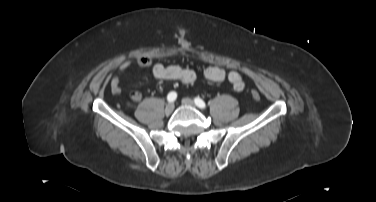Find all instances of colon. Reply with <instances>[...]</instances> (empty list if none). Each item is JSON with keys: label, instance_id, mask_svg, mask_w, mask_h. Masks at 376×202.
Returning <instances> with one entry per match:
<instances>
[{"label": "colon", "instance_id": "1", "mask_svg": "<svg viewBox=\"0 0 376 202\" xmlns=\"http://www.w3.org/2000/svg\"><path fill=\"white\" fill-rule=\"evenodd\" d=\"M251 94H252V97H253L254 99H256V100L259 99V97H260L259 93H258L257 91H255V90L252 91Z\"/></svg>", "mask_w": 376, "mask_h": 202}]
</instances>
